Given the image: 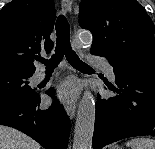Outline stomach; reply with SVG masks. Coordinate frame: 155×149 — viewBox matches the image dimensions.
<instances>
[{"mask_svg":"<svg viewBox=\"0 0 155 149\" xmlns=\"http://www.w3.org/2000/svg\"><path fill=\"white\" fill-rule=\"evenodd\" d=\"M111 149H122L119 146H113Z\"/></svg>","mask_w":155,"mask_h":149,"instance_id":"1","label":"stomach"}]
</instances>
